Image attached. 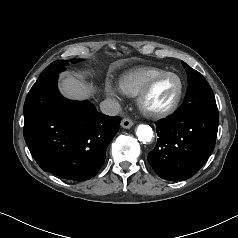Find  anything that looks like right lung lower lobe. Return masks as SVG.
I'll return each instance as SVG.
<instances>
[{
  "label": "right lung lower lobe",
  "instance_id": "98d812e1",
  "mask_svg": "<svg viewBox=\"0 0 238 238\" xmlns=\"http://www.w3.org/2000/svg\"><path fill=\"white\" fill-rule=\"evenodd\" d=\"M57 79L58 74L40 76L29 91L24 103V138L44 171L85 181L103 165L121 118L98 113L89 101L63 98Z\"/></svg>",
  "mask_w": 238,
  "mask_h": 238
}]
</instances>
